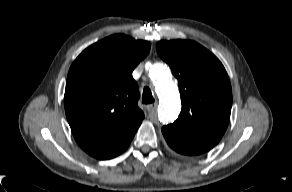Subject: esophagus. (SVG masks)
Wrapping results in <instances>:
<instances>
[{
  "instance_id": "34e87169",
  "label": "esophagus",
  "mask_w": 292,
  "mask_h": 192,
  "mask_svg": "<svg viewBox=\"0 0 292 192\" xmlns=\"http://www.w3.org/2000/svg\"><path fill=\"white\" fill-rule=\"evenodd\" d=\"M146 108H147V110H148L149 112H152V111L156 110V108H157V103H156V102H155V103H151V104L147 105Z\"/></svg>"
}]
</instances>
